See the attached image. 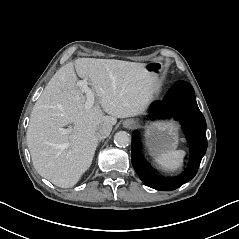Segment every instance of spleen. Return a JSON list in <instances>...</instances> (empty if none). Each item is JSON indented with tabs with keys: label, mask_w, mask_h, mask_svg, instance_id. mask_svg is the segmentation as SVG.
Wrapping results in <instances>:
<instances>
[{
	"label": "spleen",
	"mask_w": 239,
	"mask_h": 239,
	"mask_svg": "<svg viewBox=\"0 0 239 239\" xmlns=\"http://www.w3.org/2000/svg\"><path fill=\"white\" fill-rule=\"evenodd\" d=\"M183 154L182 150H167L156 157V162L163 169L173 170L180 166Z\"/></svg>",
	"instance_id": "3e777b00"
}]
</instances>
